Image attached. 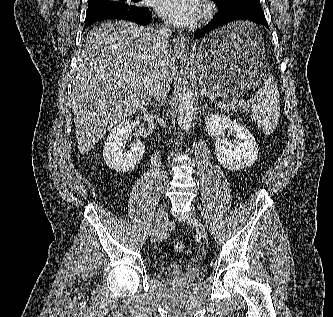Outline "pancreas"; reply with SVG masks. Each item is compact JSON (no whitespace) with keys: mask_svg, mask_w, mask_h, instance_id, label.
<instances>
[{"mask_svg":"<svg viewBox=\"0 0 333 317\" xmlns=\"http://www.w3.org/2000/svg\"><path fill=\"white\" fill-rule=\"evenodd\" d=\"M218 107L223 111H237L244 110L246 106L238 103L222 102L218 104Z\"/></svg>","mask_w":333,"mask_h":317,"instance_id":"pancreas-1","label":"pancreas"}]
</instances>
